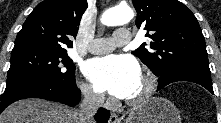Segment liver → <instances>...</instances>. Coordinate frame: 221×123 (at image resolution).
<instances>
[{
  "instance_id": "1",
  "label": "liver",
  "mask_w": 221,
  "mask_h": 123,
  "mask_svg": "<svg viewBox=\"0 0 221 123\" xmlns=\"http://www.w3.org/2000/svg\"><path fill=\"white\" fill-rule=\"evenodd\" d=\"M78 110L40 99L13 103L0 115V123H79Z\"/></svg>"
}]
</instances>
